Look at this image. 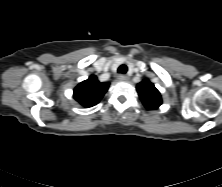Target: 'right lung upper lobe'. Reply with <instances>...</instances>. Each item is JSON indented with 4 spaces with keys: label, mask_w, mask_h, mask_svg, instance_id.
<instances>
[{
    "label": "right lung upper lobe",
    "mask_w": 222,
    "mask_h": 187,
    "mask_svg": "<svg viewBox=\"0 0 222 187\" xmlns=\"http://www.w3.org/2000/svg\"><path fill=\"white\" fill-rule=\"evenodd\" d=\"M108 87V82L101 83L96 76L92 75L76 86L73 97L82 106L92 107L101 100Z\"/></svg>",
    "instance_id": "obj_1"
}]
</instances>
